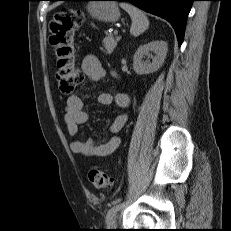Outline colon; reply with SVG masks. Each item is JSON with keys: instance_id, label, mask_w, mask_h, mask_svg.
Listing matches in <instances>:
<instances>
[{"instance_id": "obj_1", "label": "colon", "mask_w": 231, "mask_h": 231, "mask_svg": "<svg viewBox=\"0 0 231 231\" xmlns=\"http://www.w3.org/2000/svg\"><path fill=\"white\" fill-rule=\"evenodd\" d=\"M84 23V14L77 10L57 12L50 25V44L57 58L56 78L60 91L70 94L83 81L84 75L77 65L75 35ZM89 180L96 188L105 189L111 185L110 176L103 170L93 167L88 173Z\"/></svg>"}]
</instances>
